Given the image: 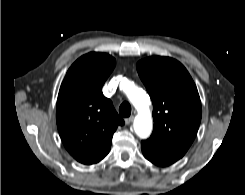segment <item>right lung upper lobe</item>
Listing matches in <instances>:
<instances>
[{
	"label": "right lung upper lobe",
	"instance_id": "1",
	"mask_svg": "<svg viewBox=\"0 0 245 195\" xmlns=\"http://www.w3.org/2000/svg\"><path fill=\"white\" fill-rule=\"evenodd\" d=\"M116 65L105 53L91 52L69 68L59 90L57 127L67 151L83 164H95L110 151L112 136L124 121L102 86Z\"/></svg>",
	"mask_w": 245,
	"mask_h": 195
}]
</instances>
